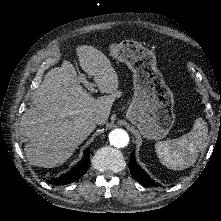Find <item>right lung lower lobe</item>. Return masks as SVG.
Listing matches in <instances>:
<instances>
[{
  "instance_id": "1",
  "label": "right lung lower lobe",
  "mask_w": 221,
  "mask_h": 221,
  "mask_svg": "<svg viewBox=\"0 0 221 221\" xmlns=\"http://www.w3.org/2000/svg\"><path fill=\"white\" fill-rule=\"evenodd\" d=\"M90 152H86L82 161L73 167L68 173L61 175L59 178L52 179L50 183L53 185H65L74 182L81 178L89 169L90 166Z\"/></svg>"
}]
</instances>
